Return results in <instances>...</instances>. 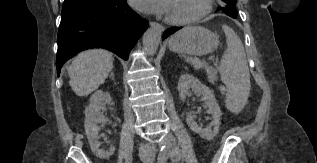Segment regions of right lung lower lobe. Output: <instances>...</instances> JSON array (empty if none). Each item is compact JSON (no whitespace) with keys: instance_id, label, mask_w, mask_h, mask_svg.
<instances>
[{"instance_id":"98d812e1","label":"right lung lower lobe","mask_w":317,"mask_h":163,"mask_svg":"<svg viewBox=\"0 0 317 163\" xmlns=\"http://www.w3.org/2000/svg\"><path fill=\"white\" fill-rule=\"evenodd\" d=\"M147 28L148 21L131 10L126 0L62 15L57 38V75L67 60L89 48H105L127 60Z\"/></svg>"}]
</instances>
